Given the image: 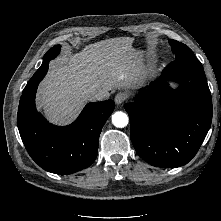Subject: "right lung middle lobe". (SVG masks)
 I'll return each mask as SVG.
<instances>
[{
    "label": "right lung middle lobe",
    "mask_w": 221,
    "mask_h": 221,
    "mask_svg": "<svg viewBox=\"0 0 221 221\" xmlns=\"http://www.w3.org/2000/svg\"><path fill=\"white\" fill-rule=\"evenodd\" d=\"M60 45H55L53 48H51L45 55L43 58V63L41 65V67L47 66L49 64V61L51 59H54L60 52Z\"/></svg>",
    "instance_id": "1"
}]
</instances>
